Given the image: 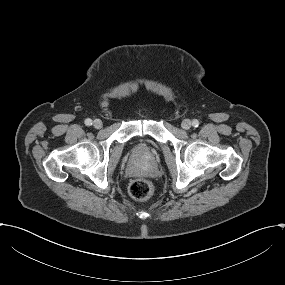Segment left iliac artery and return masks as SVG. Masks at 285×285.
<instances>
[{"mask_svg":"<svg viewBox=\"0 0 285 285\" xmlns=\"http://www.w3.org/2000/svg\"><path fill=\"white\" fill-rule=\"evenodd\" d=\"M192 125H193L194 127H198V126H199V121H198L197 119L193 120V121H192Z\"/></svg>","mask_w":285,"mask_h":285,"instance_id":"obj_1","label":"left iliac artery"}]
</instances>
